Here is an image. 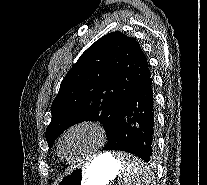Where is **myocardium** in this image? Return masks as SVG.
<instances>
[{
    "label": "myocardium",
    "mask_w": 207,
    "mask_h": 185,
    "mask_svg": "<svg viewBox=\"0 0 207 185\" xmlns=\"http://www.w3.org/2000/svg\"><path fill=\"white\" fill-rule=\"evenodd\" d=\"M78 128H88L91 129L96 136L99 138V140L102 142L106 137H107V132L105 128L97 121L94 120H82L78 121L72 125H70L60 136L58 143H57V153L60 159L67 163V164H80L83 161L90 159L92 157H95L98 155V148L93 149L89 153H87L85 156L80 157L75 160H68L66 159L63 154H62V143L63 140L68 136L69 133H71L73 130L78 129Z\"/></svg>",
    "instance_id": "obj_1"
}]
</instances>
